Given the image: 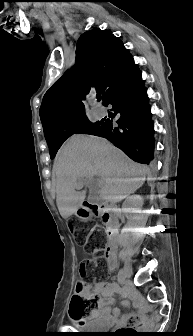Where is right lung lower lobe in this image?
<instances>
[{
    "label": "right lung lower lobe",
    "mask_w": 193,
    "mask_h": 336,
    "mask_svg": "<svg viewBox=\"0 0 193 336\" xmlns=\"http://www.w3.org/2000/svg\"><path fill=\"white\" fill-rule=\"evenodd\" d=\"M108 104L113 106L114 114L119 115L117 126L111 119H103L102 126L92 135L108 139L136 162L151 163L154 128L144 81L134 62L108 93L103 105Z\"/></svg>",
    "instance_id": "1"
}]
</instances>
